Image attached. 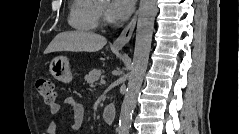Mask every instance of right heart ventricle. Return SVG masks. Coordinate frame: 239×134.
<instances>
[{
    "label": "right heart ventricle",
    "instance_id": "e07e8e85",
    "mask_svg": "<svg viewBox=\"0 0 239 134\" xmlns=\"http://www.w3.org/2000/svg\"><path fill=\"white\" fill-rule=\"evenodd\" d=\"M97 6L95 0H74L70 6L69 25L84 32L95 30L99 23Z\"/></svg>",
    "mask_w": 239,
    "mask_h": 134
}]
</instances>
